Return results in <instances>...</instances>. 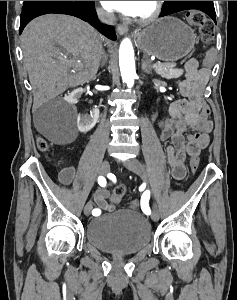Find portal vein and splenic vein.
<instances>
[{"mask_svg":"<svg viewBox=\"0 0 237 300\" xmlns=\"http://www.w3.org/2000/svg\"><path fill=\"white\" fill-rule=\"evenodd\" d=\"M176 62L175 61H171V62H156L154 66V68H157V69H171V68H175L176 66L174 65Z\"/></svg>","mask_w":237,"mask_h":300,"instance_id":"18ae733b","label":"portal vein and splenic vein"}]
</instances>
